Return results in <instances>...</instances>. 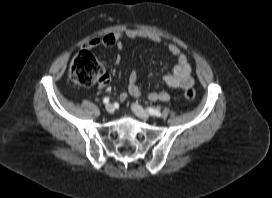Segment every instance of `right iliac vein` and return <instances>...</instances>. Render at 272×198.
<instances>
[{"instance_id": "63e3f726", "label": "right iliac vein", "mask_w": 272, "mask_h": 198, "mask_svg": "<svg viewBox=\"0 0 272 198\" xmlns=\"http://www.w3.org/2000/svg\"><path fill=\"white\" fill-rule=\"evenodd\" d=\"M105 109L109 114H112L114 112V106L112 104H107Z\"/></svg>"}]
</instances>
